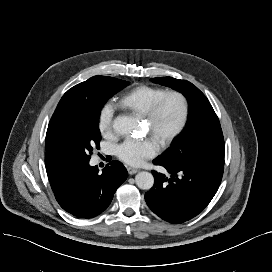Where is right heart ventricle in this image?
Wrapping results in <instances>:
<instances>
[{"label":"right heart ventricle","mask_w":272,"mask_h":272,"mask_svg":"<svg viewBox=\"0 0 272 272\" xmlns=\"http://www.w3.org/2000/svg\"><path fill=\"white\" fill-rule=\"evenodd\" d=\"M165 92L164 88L141 85L124 95L121 105L136 114L145 116L155 101Z\"/></svg>","instance_id":"e07e8e85"}]
</instances>
